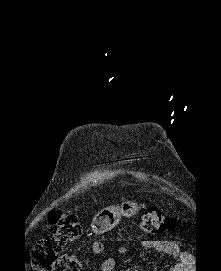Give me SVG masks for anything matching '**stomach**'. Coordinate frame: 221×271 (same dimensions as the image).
Segmentation results:
<instances>
[{"label":"stomach","instance_id":"stomach-1","mask_svg":"<svg viewBox=\"0 0 221 271\" xmlns=\"http://www.w3.org/2000/svg\"><path fill=\"white\" fill-rule=\"evenodd\" d=\"M137 207H133V205H129V207H116V205H110V207H104L101 209L95 217L92 219L91 227L94 233H104V231H108V229H112L115 227L117 223L120 221L121 215H126V217H130L133 213H136Z\"/></svg>","mask_w":221,"mask_h":271}]
</instances>
